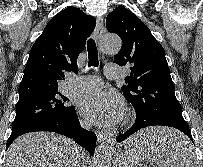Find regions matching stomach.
<instances>
[{
  "instance_id": "stomach-1",
  "label": "stomach",
  "mask_w": 203,
  "mask_h": 167,
  "mask_svg": "<svg viewBox=\"0 0 203 167\" xmlns=\"http://www.w3.org/2000/svg\"><path fill=\"white\" fill-rule=\"evenodd\" d=\"M160 129H162V128H154V129H152V131H155L156 134H158L157 132H158V130L160 131ZM148 130L149 129L142 131L143 132L142 136L149 135ZM145 140H153V138L148 137ZM145 140H142V141H145ZM135 144L136 143H130V144L127 143L126 150L117 155L116 160L118 162L119 167H138L139 166L142 159L137 154L136 149L134 148Z\"/></svg>"
}]
</instances>
